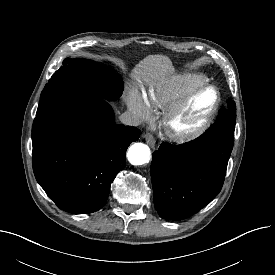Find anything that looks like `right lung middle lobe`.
I'll use <instances>...</instances> for the list:
<instances>
[{
  "instance_id": "right-lung-middle-lobe-1",
  "label": "right lung middle lobe",
  "mask_w": 275,
  "mask_h": 275,
  "mask_svg": "<svg viewBox=\"0 0 275 275\" xmlns=\"http://www.w3.org/2000/svg\"><path fill=\"white\" fill-rule=\"evenodd\" d=\"M45 85L36 115L67 95L115 100L123 91L119 74L91 60L66 58Z\"/></svg>"
}]
</instances>
